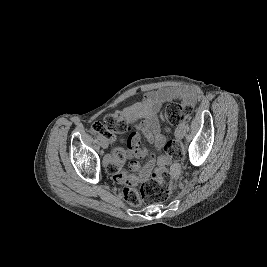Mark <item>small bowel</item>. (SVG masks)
<instances>
[{
  "instance_id": "small-bowel-1",
  "label": "small bowel",
  "mask_w": 267,
  "mask_h": 267,
  "mask_svg": "<svg viewBox=\"0 0 267 267\" xmlns=\"http://www.w3.org/2000/svg\"><path fill=\"white\" fill-rule=\"evenodd\" d=\"M197 97L198 89L195 86L164 88L148 92L142 102L136 103L125 110L126 117L131 121L136 117L143 118V122L136 127L139 133L154 147V151L150 152L141 147L138 135H134L132 137V149L135 159L131 164L130 171L123 169L119 163H113L112 174L116 181L123 184H132L146 179L153 170L159 172L166 166L171 165V158L162 151L165 138L158 120L159 109L162 104L175 99L193 104ZM146 156L150 158L151 162L142 167L138 159ZM154 163L156 164L155 168L153 167ZM178 170V165L173 164L171 166L173 174H176Z\"/></svg>"
}]
</instances>
